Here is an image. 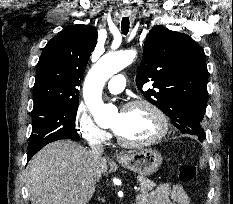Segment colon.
I'll return each instance as SVG.
<instances>
[{"instance_id": "colon-1", "label": "colon", "mask_w": 233, "mask_h": 204, "mask_svg": "<svg viewBox=\"0 0 233 204\" xmlns=\"http://www.w3.org/2000/svg\"><path fill=\"white\" fill-rule=\"evenodd\" d=\"M173 177L183 183L193 181L200 173L199 168L194 164H181L172 168Z\"/></svg>"}]
</instances>
